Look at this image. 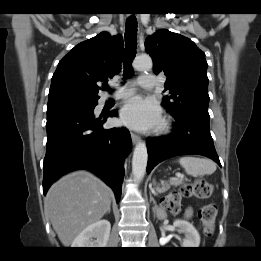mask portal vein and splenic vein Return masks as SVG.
<instances>
[{"label": "portal vein and splenic vein", "instance_id": "18ae733b", "mask_svg": "<svg viewBox=\"0 0 261 261\" xmlns=\"http://www.w3.org/2000/svg\"><path fill=\"white\" fill-rule=\"evenodd\" d=\"M176 176H177L178 178L172 179V183H173V184H177V182H181V179L184 177V176L181 175V174H176ZM179 178H180V179H179Z\"/></svg>", "mask_w": 261, "mask_h": 261}]
</instances>
